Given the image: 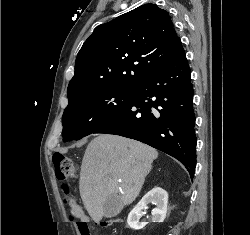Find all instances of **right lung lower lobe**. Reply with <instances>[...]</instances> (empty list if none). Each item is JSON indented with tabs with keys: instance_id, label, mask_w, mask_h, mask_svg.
I'll return each mask as SVG.
<instances>
[{
	"instance_id": "obj_1",
	"label": "right lung lower lobe",
	"mask_w": 250,
	"mask_h": 235,
	"mask_svg": "<svg viewBox=\"0 0 250 235\" xmlns=\"http://www.w3.org/2000/svg\"><path fill=\"white\" fill-rule=\"evenodd\" d=\"M193 92L190 67L179 41L169 61L142 80L127 104L93 133L146 143L178 159L193 178L197 140Z\"/></svg>"
}]
</instances>
